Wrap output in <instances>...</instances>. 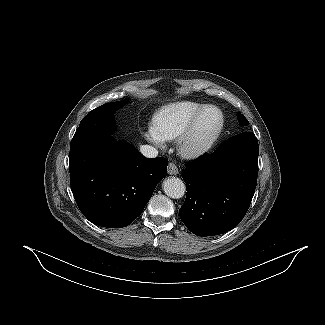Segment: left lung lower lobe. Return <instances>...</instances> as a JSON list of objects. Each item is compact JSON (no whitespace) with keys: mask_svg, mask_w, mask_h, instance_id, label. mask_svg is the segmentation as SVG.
I'll list each match as a JSON object with an SVG mask.
<instances>
[{"mask_svg":"<svg viewBox=\"0 0 325 325\" xmlns=\"http://www.w3.org/2000/svg\"><path fill=\"white\" fill-rule=\"evenodd\" d=\"M258 154L255 135L240 133L185 165L188 192L179 213L192 233L219 235L240 223L255 192Z\"/></svg>","mask_w":325,"mask_h":325,"instance_id":"0a47b994","label":"left lung lower lobe"}]
</instances>
